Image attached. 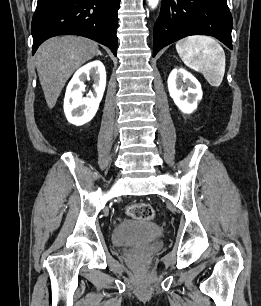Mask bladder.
Wrapping results in <instances>:
<instances>
[{
  "label": "bladder",
  "mask_w": 261,
  "mask_h": 306,
  "mask_svg": "<svg viewBox=\"0 0 261 306\" xmlns=\"http://www.w3.org/2000/svg\"><path fill=\"white\" fill-rule=\"evenodd\" d=\"M163 234V228L153 221L125 219L114 227L112 242L116 247H126L157 240Z\"/></svg>",
  "instance_id": "1"
}]
</instances>
